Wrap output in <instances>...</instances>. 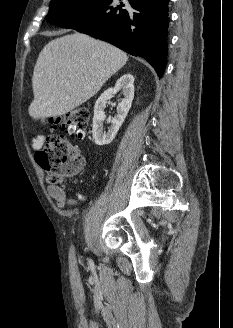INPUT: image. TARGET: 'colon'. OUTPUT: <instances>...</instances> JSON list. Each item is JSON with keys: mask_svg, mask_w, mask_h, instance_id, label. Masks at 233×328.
<instances>
[{"mask_svg": "<svg viewBox=\"0 0 233 328\" xmlns=\"http://www.w3.org/2000/svg\"><path fill=\"white\" fill-rule=\"evenodd\" d=\"M89 119L88 109L77 108L62 116L51 118L49 123L83 139L87 134ZM35 159L48 173V182L51 184H57L62 178L75 174L83 161L80 149L69 143L61 134L47 137L43 147L35 153Z\"/></svg>", "mask_w": 233, "mask_h": 328, "instance_id": "obj_1", "label": "colon"}]
</instances>
